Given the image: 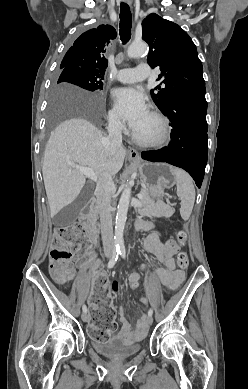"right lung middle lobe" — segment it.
Instances as JSON below:
<instances>
[{
    "instance_id": "obj_1",
    "label": "right lung middle lobe",
    "mask_w": 248,
    "mask_h": 389,
    "mask_svg": "<svg viewBox=\"0 0 248 389\" xmlns=\"http://www.w3.org/2000/svg\"><path fill=\"white\" fill-rule=\"evenodd\" d=\"M60 69H62V72L57 83H71L89 91H99L103 87L102 80L104 76L102 75L76 67L61 66ZM68 107L74 112L85 114L90 118H96L99 114L98 107L86 102H77ZM63 110V106L59 104L52 107L54 115L61 113Z\"/></svg>"
}]
</instances>
